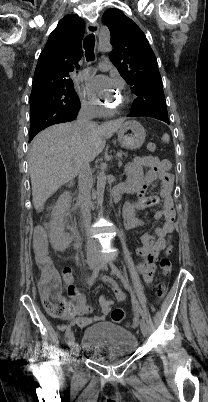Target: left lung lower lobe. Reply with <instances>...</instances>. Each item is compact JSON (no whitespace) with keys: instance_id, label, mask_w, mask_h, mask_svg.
<instances>
[{"instance_id":"1","label":"left lung lower lobe","mask_w":208,"mask_h":402,"mask_svg":"<svg viewBox=\"0 0 208 402\" xmlns=\"http://www.w3.org/2000/svg\"><path fill=\"white\" fill-rule=\"evenodd\" d=\"M128 116H129V117H138V116H147V117H153V118H156V119L162 120V121L166 122L167 124H169V120H163V119H160V118H157V117H154V116H150V115H143V114L131 113V112H130V114H129Z\"/></svg>"}]
</instances>
